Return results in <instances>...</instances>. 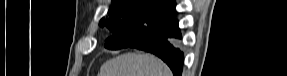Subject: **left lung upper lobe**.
Wrapping results in <instances>:
<instances>
[{"label": "left lung upper lobe", "mask_w": 287, "mask_h": 76, "mask_svg": "<svg viewBox=\"0 0 287 76\" xmlns=\"http://www.w3.org/2000/svg\"><path fill=\"white\" fill-rule=\"evenodd\" d=\"M174 13V0H112L109 16L100 21V26H106L114 34L105 47L125 48L160 27Z\"/></svg>", "instance_id": "left-lung-upper-lobe-1"}]
</instances>
